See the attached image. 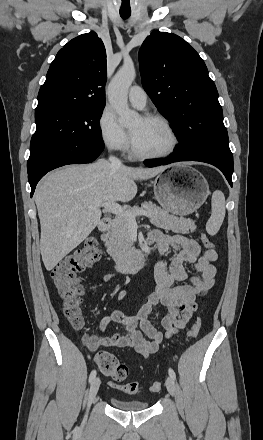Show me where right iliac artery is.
I'll use <instances>...</instances> for the list:
<instances>
[{
  "label": "right iliac artery",
  "instance_id": "1",
  "mask_svg": "<svg viewBox=\"0 0 263 440\" xmlns=\"http://www.w3.org/2000/svg\"><path fill=\"white\" fill-rule=\"evenodd\" d=\"M95 377H96V370H93V371L90 373V376H89V382L92 383V381L95 379Z\"/></svg>",
  "mask_w": 263,
  "mask_h": 440
}]
</instances>
